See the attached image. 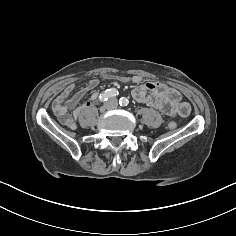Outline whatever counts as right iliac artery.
<instances>
[{
  "mask_svg": "<svg viewBox=\"0 0 236 236\" xmlns=\"http://www.w3.org/2000/svg\"><path fill=\"white\" fill-rule=\"evenodd\" d=\"M118 95V91L115 88L107 89L103 93L100 94L99 100L101 102L107 101L110 98H113Z\"/></svg>",
  "mask_w": 236,
  "mask_h": 236,
  "instance_id": "1",
  "label": "right iliac artery"
}]
</instances>
